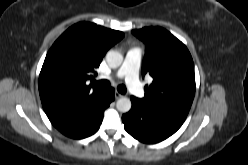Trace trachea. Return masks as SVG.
I'll list each match as a JSON object with an SVG mask.
<instances>
[{"instance_id":"3493384b","label":"trachea","mask_w":248,"mask_h":165,"mask_svg":"<svg viewBox=\"0 0 248 165\" xmlns=\"http://www.w3.org/2000/svg\"><path fill=\"white\" fill-rule=\"evenodd\" d=\"M95 85L101 86V87H109L110 86V82L108 80H100V81H94ZM117 90L121 93V94H125L127 89L124 85H119L117 87Z\"/></svg>"}]
</instances>
